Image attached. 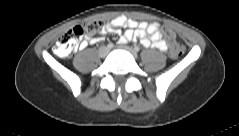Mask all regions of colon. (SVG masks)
I'll return each instance as SVG.
<instances>
[{"mask_svg": "<svg viewBox=\"0 0 239 136\" xmlns=\"http://www.w3.org/2000/svg\"><path fill=\"white\" fill-rule=\"evenodd\" d=\"M102 30V23L98 20H87L82 25H78L62 34L55 46L54 52L60 57H66L75 52L83 36L93 37ZM164 35L170 40L169 56L172 59L179 58L184 52V45L175 40V33L168 29H163Z\"/></svg>", "mask_w": 239, "mask_h": 136, "instance_id": "5ec220e1", "label": "colon"}]
</instances>
